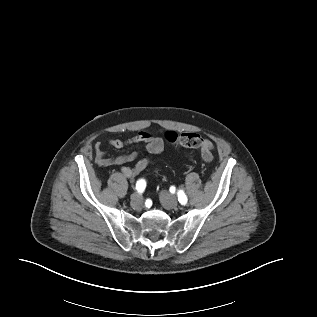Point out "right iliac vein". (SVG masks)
Wrapping results in <instances>:
<instances>
[{
    "label": "right iliac vein",
    "mask_w": 317,
    "mask_h": 317,
    "mask_svg": "<svg viewBox=\"0 0 317 317\" xmlns=\"http://www.w3.org/2000/svg\"><path fill=\"white\" fill-rule=\"evenodd\" d=\"M131 202H132L133 204H141V202H142V197H141V195H140L139 193H133V194L131 195Z\"/></svg>",
    "instance_id": "63e3f726"
}]
</instances>
